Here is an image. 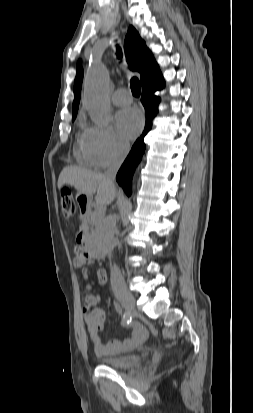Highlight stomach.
<instances>
[{
  "label": "stomach",
  "mask_w": 253,
  "mask_h": 413,
  "mask_svg": "<svg viewBox=\"0 0 253 413\" xmlns=\"http://www.w3.org/2000/svg\"><path fill=\"white\" fill-rule=\"evenodd\" d=\"M76 200L79 202V200L82 202V203H85L87 206H89L90 205V203H91V197H89V196H87V195H85V194H83V193H81V192H78L77 194H76Z\"/></svg>",
  "instance_id": "obj_1"
}]
</instances>
